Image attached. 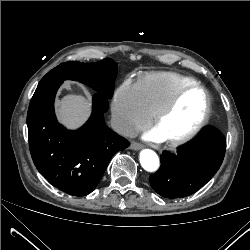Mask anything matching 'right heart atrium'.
<instances>
[{"mask_svg":"<svg viewBox=\"0 0 250 250\" xmlns=\"http://www.w3.org/2000/svg\"><path fill=\"white\" fill-rule=\"evenodd\" d=\"M111 110L113 126L123 136L134 134L151 121L136 85L129 80L115 90Z\"/></svg>","mask_w":250,"mask_h":250,"instance_id":"1","label":"right heart atrium"}]
</instances>
